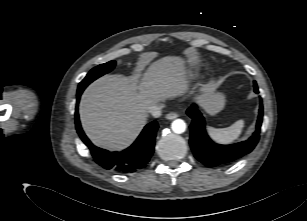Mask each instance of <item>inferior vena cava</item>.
I'll return each instance as SVG.
<instances>
[{"label": "inferior vena cava", "mask_w": 307, "mask_h": 221, "mask_svg": "<svg viewBox=\"0 0 307 221\" xmlns=\"http://www.w3.org/2000/svg\"><path fill=\"white\" fill-rule=\"evenodd\" d=\"M162 108H163V105L162 104H155V105H152L150 108H149V113L153 116V117H160L161 114H162Z\"/></svg>", "instance_id": "1"}]
</instances>
